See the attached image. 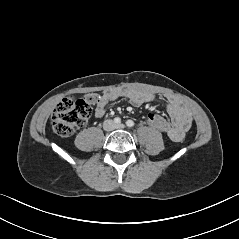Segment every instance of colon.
Returning <instances> with one entry per match:
<instances>
[{
    "mask_svg": "<svg viewBox=\"0 0 239 239\" xmlns=\"http://www.w3.org/2000/svg\"><path fill=\"white\" fill-rule=\"evenodd\" d=\"M99 99L97 94H89L83 98L68 97L63 99L55 107L52 113V129L63 137L70 136L78 128L83 126L91 115L92 105ZM148 126L159 133L168 131L170 124L164 115L155 111L145 114Z\"/></svg>",
    "mask_w": 239,
    "mask_h": 239,
    "instance_id": "5ec220e1",
    "label": "colon"
}]
</instances>
